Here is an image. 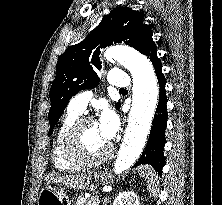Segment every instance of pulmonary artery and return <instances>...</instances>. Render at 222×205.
Masks as SVG:
<instances>
[{
  "label": "pulmonary artery",
  "mask_w": 222,
  "mask_h": 205,
  "mask_svg": "<svg viewBox=\"0 0 222 205\" xmlns=\"http://www.w3.org/2000/svg\"><path fill=\"white\" fill-rule=\"evenodd\" d=\"M109 82L116 89H125L130 84V78L129 75L123 71L111 70L109 72ZM91 98V91L80 92L71 99L68 110L77 114L82 113Z\"/></svg>",
  "instance_id": "1"
}]
</instances>
